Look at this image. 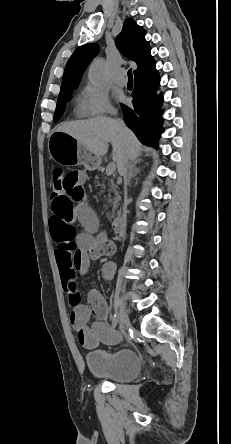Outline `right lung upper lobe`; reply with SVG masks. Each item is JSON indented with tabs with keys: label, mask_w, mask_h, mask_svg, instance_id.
Wrapping results in <instances>:
<instances>
[{
	"label": "right lung upper lobe",
	"mask_w": 231,
	"mask_h": 444,
	"mask_svg": "<svg viewBox=\"0 0 231 444\" xmlns=\"http://www.w3.org/2000/svg\"><path fill=\"white\" fill-rule=\"evenodd\" d=\"M145 34V30L129 18L124 22L123 30L116 38L119 50L138 66L137 70L134 71V76L149 70L155 65V60L150 54L151 48L145 40ZM98 51L99 46L95 43L82 45L74 51L66 64L60 93L74 89L85 68Z\"/></svg>",
	"instance_id": "obj_1"
}]
</instances>
